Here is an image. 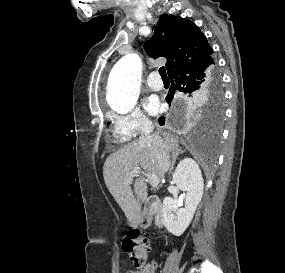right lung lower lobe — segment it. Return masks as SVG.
I'll list each match as a JSON object with an SVG mask.
<instances>
[{"mask_svg":"<svg viewBox=\"0 0 285 273\" xmlns=\"http://www.w3.org/2000/svg\"><path fill=\"white\" fill-rule=\"evenodd\" d=\"M212 54L187 63L169 74L171 93L166 97L168 102L172 100L175 92L195 93L201 90L214 77L217 71ZM164 121L165 118H159L161 126L165 124Z\"/></svg>","mask_w":285,"mask_h":273,"instance_id":"obj_1","label":"right lung lower lobe"}]
</instances>
